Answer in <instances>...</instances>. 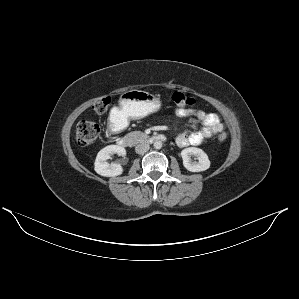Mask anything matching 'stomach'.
<instances>
[{"label": "stomach", "mask_w": 299, "mask_h": 299, "mask_svg": "<svg viewBox=\"0 0 299 299\" xmlns=\"http://www.w3.org/2000/svg\"><path fill=\"white\" fill-rule=\"evenodd\" d=\"M161 107L160 97L140 90H129L119 99L120 113L126 118L140 119Z\"/></svg>", "instance_id": "1"}]
</instances>
